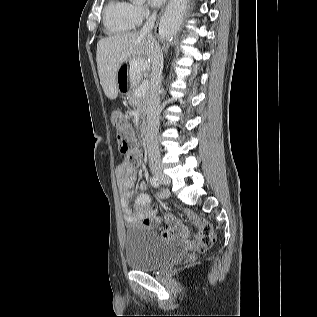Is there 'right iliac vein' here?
I'll list each match as a JSON object with an SVG mask.
<instances>
[{
    "instance_id": "63e3f726",
    "label": "right iliac vein",
    "mask_w": 317,
    "mask_h": 317,
    "mask_svg": "<svg viewBox=\"0 0 317 317\" xmlns=\"http://www.w3.org/2000/svg\"><path fill=\"white\" fill-rule=\"evenodd\" d=\"M155 176L164 184L169 185L170 184V179L167 175H165L164 173H162V171L160 170H156L154 172Z\"/></svg>"
}]
</instances>
